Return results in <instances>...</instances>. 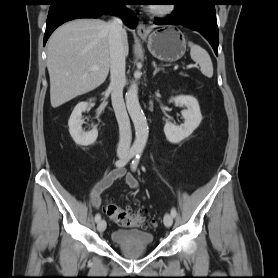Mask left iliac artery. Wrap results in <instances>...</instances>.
<instances>
[{"label":"left iliac artery","instance_id":"obj_1","mask_svg":"<svg viewBox=\"0 0 278 278\" xmlns=\"http://www.w3.org/2000/svg\"><path fill=\"white\" fill-rule=\"evenodd\" d=\"M141 153H142V150H139V151L137 152V155H136L135 159L132 161L131 168H132L133 171L136 169V167H137V165H138V163H139ZM171 215H172L174 218L176 217L177 211H176L175 208H172V209H171Z\"/></svg>","mask_w":278,"mask_h":278}]
</instances>
